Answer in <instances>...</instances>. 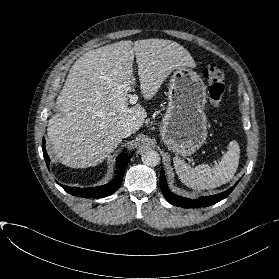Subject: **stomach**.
Returning <instances> with one entry per match:
<instances>
[{
	"label": "stomach",
	"instance_id": "1",
	"mask_svg": "<svg viewBox=\"0 0 279 279\" xmlns=\"http://www.w3.org/2000/svg\"><path fill=\"white\" fill-rule=\"evenodd\" d=\"M168 97L160 136L176 155L189 156L207 138L208 121L204 112L206 86L195 71L180 67L171 76Z\"/></svg>",
	"mask_w": 279,
	"mask_h": 279
}]
</instances>
